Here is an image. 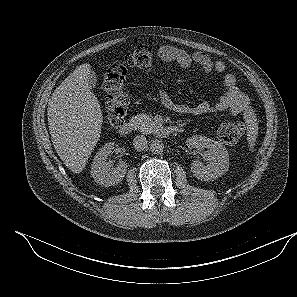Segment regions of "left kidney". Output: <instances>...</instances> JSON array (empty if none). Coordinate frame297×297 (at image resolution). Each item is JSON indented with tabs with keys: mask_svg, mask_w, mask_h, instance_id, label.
<instances>
[{
	"mask_svg": "<svg viewBox=\"0 0 297 297\" xmlns=\"http://www.w3.org/2000/svg\"><path fill=\"white\" fill-rule=\"evenodd\" d=\"M186 145L190 149H207L203 155L206 164L198 160L191 164V171L197 179L211 181L228 171L229 154L225 146L218 141L205 136L194 135L187 139Z\"/></svg>",
	"mask_w": 297,
	"mask_h": 297,
	"instance_id": "obj_1",
	"label": "left kidney"
}]
</instances>
